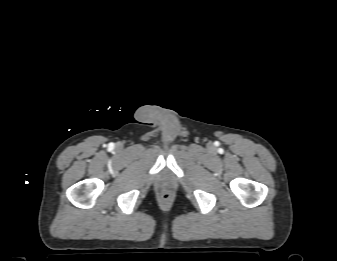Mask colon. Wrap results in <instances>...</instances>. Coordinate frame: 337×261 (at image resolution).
<instances>
[{"mask_svg":"<svg viewBox=\"0 0 337 261\" xmlns=\"http://www.w3.org/2000/svg\"><path fill=\"white\" fill-rule=\"evenodd\" d=\"M161 197L164 201H167L170 199L171 195L169 192H163Z\"/></svg>","mask_w":337,"mask_h":261,"instance_id":"1","label":"colon"}]
</instances>
